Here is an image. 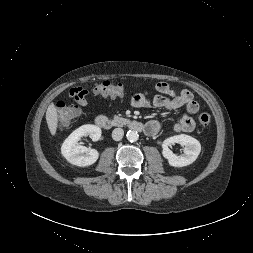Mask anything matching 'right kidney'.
<instances>
[{"instance_id":"ca27d5eb","label":"right kidney","mask_w":253,"mask_h":253,"mask_svg":"<svg viewBox=\"0 0 253 253\" xmlns=\"http://www.w3.org/2000/svg\"><path fill=\"white\" fill-rule=\"evenodd\" d=\"M83 136H90L93 141H98L101 137V129L96 125H82L65 139L61 147V153L66 160L79 167L90 166L99 157L97 150L78 145V141Z\"/></svg>"}]
</instances>
